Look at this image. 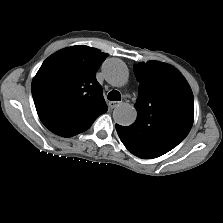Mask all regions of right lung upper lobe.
Masks as SVG:
<instances>
[{
	"label": "right lung upper lobe",
	"instance_id": "obj_1",
	"mask_svg": "<svg viewBox=\"0 0 223 223\" xmlns=\"http://www.w3.org/2000/svg\"><path fill=\"white\" fill-rule=\"evenodd\" d=\"M108 54L84 45L48 57L32 82L39 118L53 133L71 137L86 131L107 111L95 73Z\"/></svg>",
	"mask_w": 223,
	"mask_h": 223
}]
</instances>
